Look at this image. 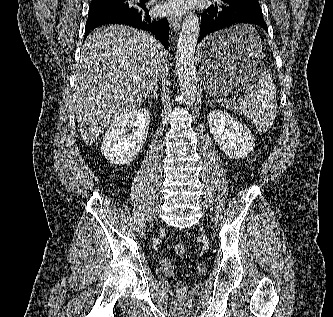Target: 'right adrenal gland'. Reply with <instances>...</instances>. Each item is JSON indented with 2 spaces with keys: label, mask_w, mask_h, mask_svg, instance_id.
Wrapping results in <instances>:
<instances>
[{
  "label": "right adrenal gland",
  "mask_w": 333,
  "mask_h": 317,
  "mask_svg": "<svg viewBox=\"0 0 333 317\" xmlns=\"http://www.w3.org/2000/svg\"><path fill=\"white\" fill-rule=\"evenodd\" d=\"M157 91H158V86L156 85L154 87V89L152 90V93L150 95H148L147 98L150 99V98L154 97V98L158 99Z\"/></svg>",
  "instance_id": "2a0ac1e0"
}]
</instances>
